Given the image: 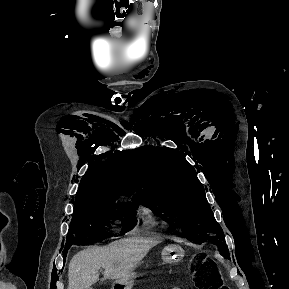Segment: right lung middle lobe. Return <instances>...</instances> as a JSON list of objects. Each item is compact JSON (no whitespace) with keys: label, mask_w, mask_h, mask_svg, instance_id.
Wrapping results in <instances>:
<instances>
[{"label":"right lung middle lobe","mask_w":289,"mask_h":289,"mask_svg":"<svg viewBox=\"0 0 289 289\" xmlns=\"http://www.w3.org/2000/svg\"><path fill=\"white\" fill-rule=\"evenodd\" d=\"M74 205L64 252L68 251L73 243L88 244L112 237L108 231L110 220L121 221V233L133 229L136 224L135 210L138 203L134 200L90 199L75 201Z\"/></svg>","instance_id":"obj_1"}]
</instances>
